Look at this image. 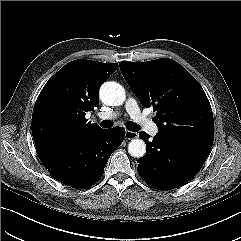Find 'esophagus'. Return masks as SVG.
I'll return each mask as SVG.
<instances>
[{"label": "esophagus", "instance_id": "obj_1", "mask_svg": "<svg viewBox=\"0 0 241 241\" xmlns=\"http://www.w3.org/2000/svg\"><path fill=\"white\" fill-rule=\"evenodd\" d=\"M125 138L126 139H135L138 138V133L130 130H126L125 132Z\"/></svg>", "mask_w": 241, "mask_h": 241}]
</instances>
